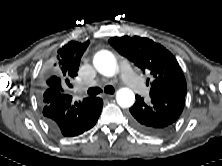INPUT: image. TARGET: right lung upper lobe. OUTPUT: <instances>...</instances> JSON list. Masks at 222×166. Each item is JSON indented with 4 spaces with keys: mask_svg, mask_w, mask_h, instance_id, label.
Wrapping results in <instances>:
<instances>
[{
    "mask_svg": "<svg viewBox=\"0 0 222 166\" xmlns=\"http://www.w3.org/2000/svg\"><path fill=\"white\" fill-rule=\"evenodd\" d=\"M88 45L89 41L85 43L70 41L59 48L51 60V70L45 88L65 93L66 85H69V81L77 76L81 57Z\"/></svg>",
    "mask_w": 222,
    "mask_h": 166,
    "instance_id": "obj_1",
    "label": "right lung upper lobe"
}]
</instances>
